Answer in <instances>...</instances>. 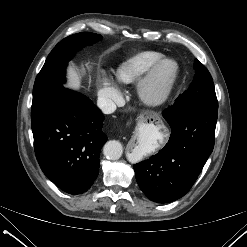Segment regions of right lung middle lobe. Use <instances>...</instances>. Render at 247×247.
Here are the masks:
<instances>
[{"label":"right lung middle lobe","instance_id":"1","mask_svg":"<svg viewBox=\"0 0 247 247\" xmlns=\"http://www.w3.org/2000/svg\"><path fill=\"white\" fill-rule=\"evenodd\" d=\"M100 38L98 34L82 32L68 36L55 46L35 80L31 107L32 122H35L65 89L63 83L66 65L75 52Z\"/></svg>","mask_w":247,"mask_h":247}]
</instances>
